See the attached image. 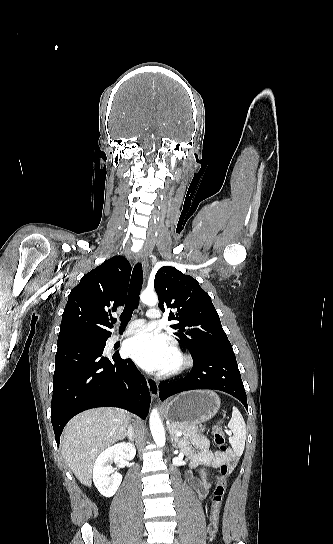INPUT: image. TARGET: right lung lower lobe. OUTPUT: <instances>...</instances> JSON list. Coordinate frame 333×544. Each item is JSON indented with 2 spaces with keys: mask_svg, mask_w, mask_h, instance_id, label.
Instances as JSON below:
<instances>
[{
  "mask_svg": "<svg viewBox=\"0 0 333 544\" xmlns=\"http://www.w3.org/2000/svg\"><path fill=\"white\" fill-rule=\"evenodd\" d=\"M100 341L58 346L51 406L57 446L66 423L87 409L119 407L142 419L148 415L151 399L144 376L131 359L122 360L119 353L104 357L106 344Z\"/></svg>",
  "mask_w": 333,
  "mask_h": 544,
  "instance_id": "98d812e1",
  "label": "right lung lower lobe"
}]
</instances>
